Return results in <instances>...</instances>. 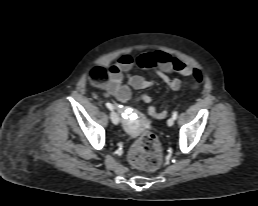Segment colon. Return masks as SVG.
Masks as SVG:
<instances>
[{
	"label": "colon",
	"instance_id": "5ec220e1",
	"mask_svg": "<svg viewBox=\"0 0 258 206\" xmlns=\"http://www.w3.org/2000/svg\"><path fill=\"white\" fill-rule=\"evenodd\" d=\"M90 77L94 82L101 83L107 77L101 67L94 68ZM130 163L139 169L155 170L162 162V149L158 138L151 132L142 134L131 146L129 152Z\"/></svg>",
	"mask_w": 258,
	"mask_h": 206
}]
</instances>
